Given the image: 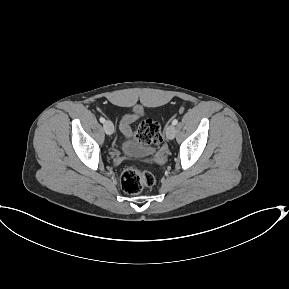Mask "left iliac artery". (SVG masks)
Wrapping results in <instances>:
<instances>
[{
	"mask_svg": "<svg viewBox=\"0 0 289 289\" xmlns=\"http://www.w3.org/2000/svg\"><path fill=\"white\" fill-rule=\"evenodd\" d=\"M178 123V120L177 119H174L173 121H172V124L173 125H176Z\"/></svg>",
	"mask_w": 289,
	"mask_h": 289,
	"instance_id": "obj_1",
	"label": "left iliac artery"
}]
</instances>
